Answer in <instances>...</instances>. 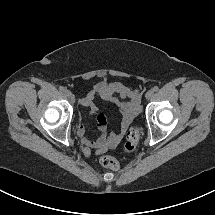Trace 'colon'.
<instances>
[{"instance_id":"5ec220e1","label":"colon","mask_w":215,"mask_h":215,"mask_svg":"<svg viewBox=\"0 0 215 215\" xmlns=\"http://www.w3.org/2000/svg\"><path fill=\"white\" fill-rule=\"evenodd\" d=\"M139 138L140 128L137 126L132 127L127 133L123 150L126 153H132L138 145ZM100 163L105 168H108L113 171H118L120 169V163L118 162V160L110 155H102L100 157Z\"/></svg>"}]
</instances>
